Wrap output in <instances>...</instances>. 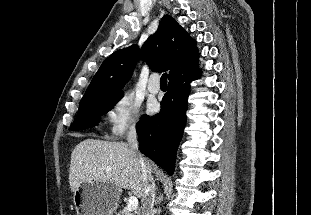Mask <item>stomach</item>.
Instances as JSON below:
<instances>
[{
	"label": "stomach",
	"mask_w": 311,
	"mask_h": 215,
	"mask_svg": "<svg viewBox=\"0 0 311 215\" xmlns=\"http://www.w3.org/2000/svg\"><path fill=\"white\" fill-rule=\"evenodd\" d=\"M120 193L114 184L89 180L79 186L73 202L78 215H113Z\"/></svg>",
	"instance_id": "0dacf381"
}]
</instances>
